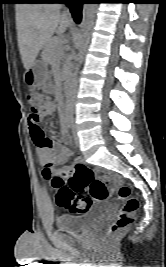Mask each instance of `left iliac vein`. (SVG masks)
Returning a JSON list of instances; mask_svg holds the SVG:
<instances>
[{
  "label": "left iliac vein",
  "mask_w": 166,
  "mask_h": 267,
  "mask_svg": "<svg viewBox=\"0 0 166 267\" xmlns=\"http://www.w3.org/2000/svg\"><path fill=\"white\" fill-rule=\"evenodd\" d=\"M72 133H73V138H74L75 143L78 144L79 139H78V136L76 134V126L73 122H72Z\"/></svg>",
  "instance_id": "left-iliac-vein-1"
}]
</instances>
